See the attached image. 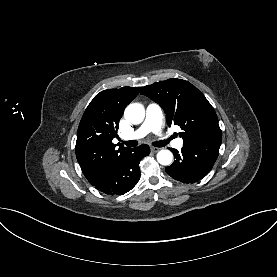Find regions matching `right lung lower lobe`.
I'll list each match as a JSON object with an SVG mask.
<instances>
[{"label": "right lung lower lobe", "instance_id": "right-lung-lower-lobe-1", "mask_svg": "<svg viewBox=\"0 0 277 277\" xmlns=\"http://www.w3.org/2000/svg\"><path fill=\"white\" fill-rule=\"evenodd\" d=\"M147 145L130 149L110 171L92 185L108 195H123L130 191L140 179L139 163L149 155Z\"/></svg>", "mask_w": 277, "mask_h": 277}]
</instances>
